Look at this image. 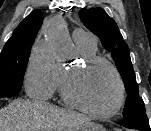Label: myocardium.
<instances>
[{"instance_id":"f54148a6","label":"myocardium","mask_w":151,"mask_h":131,"mask_svg":"<svg viewBox=\"0 0 151 131\" xmlns=\"http://www.w3.org/2000/svg\"><path fill=\"white\" fill-rule=\"evenodd\" d=\"M97 64H103L107 66L109 70L112 72L117 83L118 96H117L116 104L111 110L107 112H98L89 108L74 93L73 86H72L78 76H80L85 70ZM62 93L65 101L68 104L84 112L85 114L98 119H107L115 116L121 110L125 100V86L119 71L109 60L98 55L83 57L81 63L73 66L71 69L67 71L62 85Z\"/></svg>"}]
</instances>
